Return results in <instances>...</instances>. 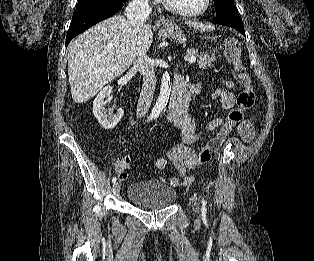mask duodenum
I'll return each mask as SVG.
<instances>
[{
    "label": "duodenum",
    "mask_w": 314,
    "mask_h": 261,
    "mask_svg": "<svg viewBox=\"0 0 314 261\" xmlns=\"http://www.w3.org/2000/svg\"><path fill=\"white\" fill-rule=\"evenodd\" d=\"M193 94L186 86L185 80L179 76L173 85L172 96L168 105V116L172 118L176 114L183 112L189 104Z\"/></svg>",
    "instance_id": "duodenum-1"
}]
</instances>
